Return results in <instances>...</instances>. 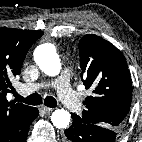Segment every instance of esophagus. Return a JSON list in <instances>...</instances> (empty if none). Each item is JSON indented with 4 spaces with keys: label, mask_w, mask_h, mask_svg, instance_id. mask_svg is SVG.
Returning a JSON list of instances; mask_svg holds the SVG:
<instances>
[{
    "label": "esophagus",
    "mask_w": 142,
    "mask_h": 142,
    "mask_svg": "<svg viewBox=\"0 0 142 142\" xmlns=\"http://www.w3.org/2000/svg\"><path fill=\"white\" fill-rule=\"evenodd\" d=\"M41 108L45 113H50L54 110L53 108H50V107H47V106H44V105Z\"/></svg>",
    "instance_id": "34e87169"
}]
</instances>
